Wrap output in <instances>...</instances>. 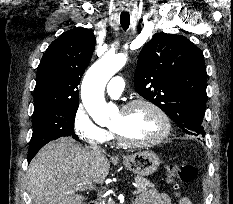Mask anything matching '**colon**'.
Instances as JSON below:
<instances>
[{"instance_id":"obj_1","label":"colon","mask_w":233,"mask_h":204,"mask_svg":"<svg viewBox=\"0 0 233 204\" xmlns=\"http://www.w3.org/2000/svg\"><path fill=\"white\" fill-rule=\"evenodd\" d=\"M167 180L173 185L176 192L184 184L193 182L197 177V169L190 164L184 165H168L166 169Z\"/></svg>"}]
</instances>
